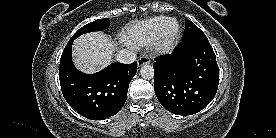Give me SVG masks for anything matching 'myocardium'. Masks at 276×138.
<instances>
[{
  "label": "myocardium",
  "mask_w": 276,
  "mask_h": 138,
  "mask_svg": "<svg viewBox=\"0 0 276 138\" xmlns=\"http://www.w3.org/2000/svg\"><path fill=\"white\" fill-rule=\"evenodd\" d=\"M170 22H176V31L167 35L166 28ZM182 29L179 21L176 18L169 17L160 26L156 36L152 41V49L156 54H167L171 52L177 45L181 37Z\"/></svg>",
  "instance_id": "myocardium-1"
}]
</instances>
